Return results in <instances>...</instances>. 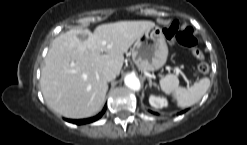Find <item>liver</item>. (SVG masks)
Listing matches in <instances>:
<instances>
[{
  "instance_id": "liver-1",
  "label": "liver",
  "mask_w": 247,
  "mask_h": 145,
  "mask_svg": "<svg viewBox=\"0 0 247 145\" xmlns=\"http://www.w3.org/2000/svg\"><path fill=\"white\" fill-rule=\"evenodd\" d=\"M152 21H120L102 24L93 33L71 29L56 37L45 58L40 86L47 105L68 118H86L102 108L108 90L102 72L116 75L124 53Z\"/></svg>"
}]
</instances>
